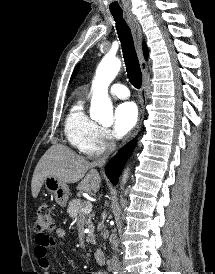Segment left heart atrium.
Returning a JSON list of instances; mask_svg holds the SVG:
<instances>
[{"label": "left heart atrium", "instance_id": "obj_1", "mask_svg": "<svg viewBox=\"0 0 215 274\" xmlns=\"http://www.w3.org/2000/svg\"><path fill=\"white\" fill-rule=\"evenodd\" d=\"M138 120L137 107L132 102L119 104L114 110L113 131L117 138L128 134L136 125Z\"/></svg>", "mask_w": 215, "mask_h": 274}]
</instances>
